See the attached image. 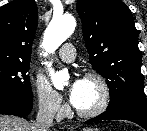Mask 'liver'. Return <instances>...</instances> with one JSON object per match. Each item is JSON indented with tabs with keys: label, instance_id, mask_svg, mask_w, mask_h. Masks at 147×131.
Here are the masks:
<instances>
[{
	"label": "liver",
	"instance_id": "6515ba94",
	"mask_svg": "<svg viewBox=\"0 0 147 131\" xmlns=\"http://www.w3.org/2000/svg\"><path fill=\"white\" fill-rule=\"evenodd\" d=\"M0 131H37V128L22 118L0 115Z\"/></svg>",
	"mask_w": 147,
	"mask_h": 131
}]
</instances>
